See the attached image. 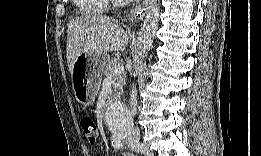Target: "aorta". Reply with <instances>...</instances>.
Listing matches in <instances>:
<instances>
[{
  "instance_id": "762f6f07",
  "label": "aorta",
  "mask_w": 261,
  "mask_h": 156,
  "mask_svg": "<svg viewBox=\"0 0 261 156\" xmlns=\"http://www.w3.org/2000/svg\"><path fill=\"white\" fill-rule=\"evenodd\" d=\"M159 12V1H152L148 7L139 37L141 55H147L152 48L158 29ZM106 124L113 136L124 138L133 127L132 114L125 104L120 102L113 103L107 109Z\"/></svg>"
}]
</instances>
